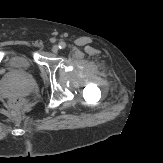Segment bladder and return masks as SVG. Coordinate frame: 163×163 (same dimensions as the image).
<instances>
[{
  "label": "bladder",
  "instance_id": "obj_1",
  "mask_svg": "<svg viewBox=\"0 0 163 163\" xmlns=\"http://www.w3.org/2000/svg\"><path fill=\"white\" fill-rule=\"evenodd\" d=\"M9 62L14 66L24 69H29L33 65L32 59L28 55L22 53L15 54L12 57H10Z\"/></svg>",
  "mask_w": 163,
  "mask_h": 163
}]
</instances>
